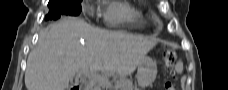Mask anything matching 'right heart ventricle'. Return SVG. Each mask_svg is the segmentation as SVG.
<instances>
[{"label": "right heart ventricle", "mask_w": 228, "mask_h": 90, "mask_svg": "<svg viewBox=\"0 0 228 90\" xmlns=\"http://www.w3.org/2000/svg\"><path fill=\"white\" fill-rule=\"evenodd\" d=\"M109 24H137L141 19V12L130 3H112L104 13Z\"/></svg>", "instance_id": "e07e8e85"}]
</instances>
